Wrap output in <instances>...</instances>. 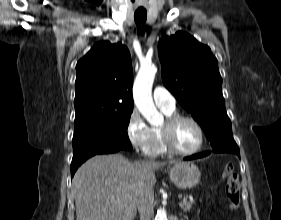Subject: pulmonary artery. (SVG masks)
I'll list each match as a JSON object with an SVG mask.
<instances>
[{
	"instance_id": "1",
	"label": "pulmonary artery",
	"mask_w": 281,
	"mask_h": 220,
	"mask_svg": "<svg viewBox=\"0 0 281 220\" xmlns=\"http://www.w3.org/2000/svg\"><path fill=\"white\" fill-rule=\"evenodd\" d=\"M153 99L155 104L164 110L174 111L176 100L174 96L162 86H157L153 90Z\"/></svg>"
}]
</instances>
